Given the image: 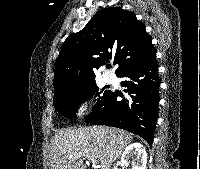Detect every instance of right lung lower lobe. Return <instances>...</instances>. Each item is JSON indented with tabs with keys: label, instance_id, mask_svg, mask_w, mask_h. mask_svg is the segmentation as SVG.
<instances>
[{
	"label": "right lung lower lobe",
	"instance_id": "98d812e1",
	"mask_svg": "<svg viewBox=\"0 0 200 169\" xmlns=\"http://www.w3.org/2000/svg\"><path fill=\"white\" fill-rule=\"evenodd\" d=\"M118 77L126 96L117 100L109 91L100 106L86 118L87 123L108 125L128 130L153 143L158 112L159 85L156 56L127 67Z\"/></svg>",
	"mask_w": 200,
	"mask_h": 169
}]
</instances>
